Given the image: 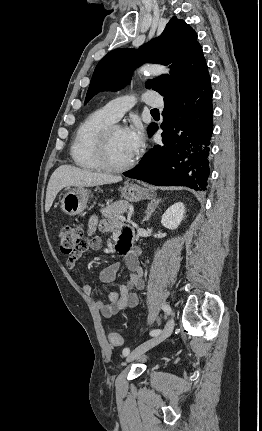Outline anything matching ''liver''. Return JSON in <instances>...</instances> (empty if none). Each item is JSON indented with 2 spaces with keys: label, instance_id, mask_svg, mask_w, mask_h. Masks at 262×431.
Segmentation results:
<instances>
[{
  "label": "liver",
  "instance_id": "liver-1",
  "mask_svg": "<svg viewBox=\"0 0 262 431\" xmlns=\"http://www.w3.org/2000/svg\"><path fill=\"white\" fill-rule=\"evenodd\" d=\"M122 180L120 176L96 173L80 169L71 165L59 166L51 175L46 190L45 211L48 212L54 199L64 187H91L117 183Z\"/></svg>",
  "mask_w": 262,
  "mask_h": 431
}]
</instances>
